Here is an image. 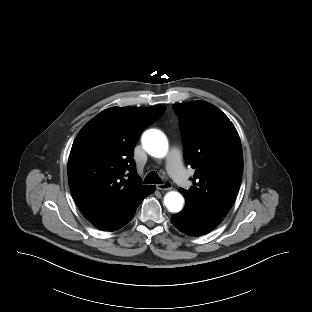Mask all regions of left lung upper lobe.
Listing matches in <instances>:
<instances>
[{"label": "left lung upper lobe", "instance_id": "5c2ea615", "mask_svg": "<svg viewBox=\"0 0 312 312\" xmlns=\"http://www.w3.org/2000/svg\"><path fill=\"white\" fill-rule=\"evenodd\" d=\"M180 118L186 162L196 169L190 190L179 188L185 201L223 217L231 207L243 173L238 133L229 118L205 101L173 105Z\"/></svg>", "mask_w": 312, "mask_h": 312}]
</instances>
